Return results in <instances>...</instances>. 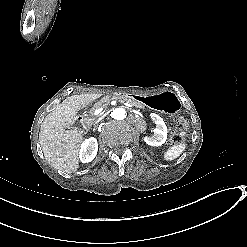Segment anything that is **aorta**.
I'll list each match as a JSON object with an SVG mask.
<instances>
[{
	"mask_svg": "<svg viewBox=\"0 0 247 247\" xmlns=\"http://www.w3.org/2000/svg\"><path fill=\"white\" fill-rule=\"evenodd\" d=\"M111 116H112V118H114L116 120H123L126 118L127 113H126V110L124 108H116L111 113Z\"/></svg>",
	"mask_w": 247,
	"mask_h": 247,
	"instance_id": "aorta-1",
	"label": "aorta"
}]
</instances>
